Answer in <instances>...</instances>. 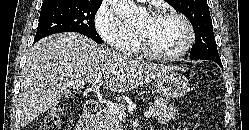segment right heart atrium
<instances>
[{"instance_id": "right-heart-atrium-1", "label": "right heart atrium", "mask_w": 249, "mask_h": 130, "mask_svg": "<svg viewBox=\"0 0 249 130\" xmlns=\"http://www.w3.org/2000/svg\"><path fill=\"white\" fill-rule=\"evenodd\" d=\"M94 27L108 46L123 53L135 50L137 44L135 31L128 27L105 2L101 3L94 15Z\"/></svg>"}]
</instances>
